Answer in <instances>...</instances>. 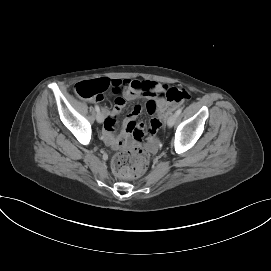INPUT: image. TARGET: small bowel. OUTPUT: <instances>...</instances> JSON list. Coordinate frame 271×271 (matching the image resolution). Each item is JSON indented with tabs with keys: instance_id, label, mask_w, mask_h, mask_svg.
Instances as JSON below:
<instances>
[{
	"instance_id": "obj_1",
	"label": "small bowel",
	"mask_w": 271,
	"mask_h": 271,
	"mask_svg": "<svg viewBox=\"0 0 271 271\" xmlns=\"http://www.w3.org/2000/svg\"><path fill=\"white\" fill-rule=\"evenodd\" d=\"M109 81L111 85L108 87V92L112 95L111 102L114 106L110 111L104 110L103 133L106 143L110 146L117 147L122 145L130 136L135 140H141L146 125L143 122L136 123V119L141 112L140 106L134 107L131 113L125 118L123 131L118 136L115 135L117 129L116 116L123 110L127 100L132 101L139 98H146V110L156 116L157 118L155 119L157 120L165 117L171 105L161 96L166 87L153 81L118 79ZM154 133H151V135Z\"/></svg>"
}]
</instances>
